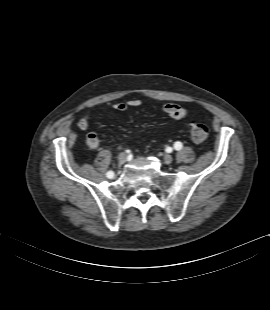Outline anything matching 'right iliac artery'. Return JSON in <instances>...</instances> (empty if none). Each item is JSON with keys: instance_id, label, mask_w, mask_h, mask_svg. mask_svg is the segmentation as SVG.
I'll return each instance as SVG.
<instances>
[{"instance_id": "82829eb1", "label": "right iliac artery", "mask_w": 270, "mask_h": 310, "mask_svg": "<svg viewBox=\"0 0 270 310\" xmlns=\"http://www.w3.org/2000/svg\"><path fill=\"white\" fill-rule=\"evenodd\" d=\"M107 177L108 178H113L114 177V172H112V171L107 172Z\"/></svg>"}]
</instances>
